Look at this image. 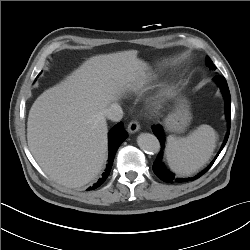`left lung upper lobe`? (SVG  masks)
I'll return each mask as SVG.
<instances>
[{
	"label": "left lung upper lobe",
	"mask_w": 250,
	"mask_h": 250,
	"mask_svg": "<svg viewBox=\"0 0 250 250\" xmlns=\"http://www.w3.org/2000/svg\"><path fill=\"white\" fill-rule=\"evenodd\" d=\"M206 65L208 67H210L211 69H216V66L213 64V62L211 61V59L209 57L206 58Z\"/></svg>",
	"instance_id": "obj_1"
}]
</instances>
